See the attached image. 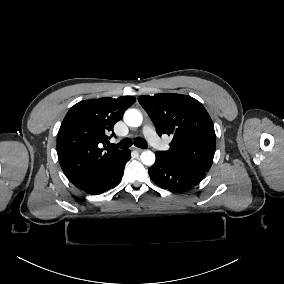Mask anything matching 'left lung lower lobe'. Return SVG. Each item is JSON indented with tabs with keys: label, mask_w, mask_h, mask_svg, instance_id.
I'll use <instances>...</instances> for the list:
<instances>
[{
	"label": "left lung lower lobe",
	"mask_w": 284,
	"mask_h": 284,
	"mask_svg": "<svg viewBox=\"0 0 284 284\" xmlns=\"http://www.w3.org/2000/svg\"><path fill=\"white\" fill-rule=\"evenodd\" d=\"M149 175L158 186L182 192L196 186L206 172L171 163L156 153V162L149 168Z\"/></svg>",
	"instance_id": "1"
}]
</instances>
